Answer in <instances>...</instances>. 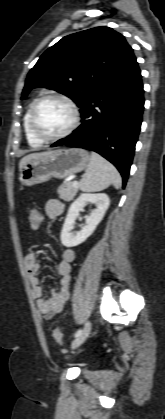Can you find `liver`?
I'll use <instances>...</instances> for the list:
<instances>
[{"mask_svg": "<svg viewBox=\"0 0 165 419\" xmlns=\"http://www.w3.org/2000/svg\"><path fill=\"white\" fill-rule=\"evenodd\" d=\"M52 151H47V152H39V153H31V154H28V155H26V156H24L21 160H20V163H19V169H20V171H21V169L23 168V166L29 161V160H31L32 158H35V157H38V156H44V155H47V154H49V153H51Z\"/></svg>", "mask_w": 165, "mask_h": 419, "instance_id": "6515ba94", "label": "liver"}]
</instances>
